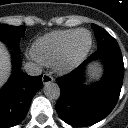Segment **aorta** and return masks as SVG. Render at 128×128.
<instances>
[{
	"label": "aorta",
	"instance_id": "obj_1",
	"mask_svg": "<svg viewBox=\"0 0 128 128\" xmlns=\"http://www.w3.org/2000/svg\"><path fill=\"white\" fill-rule=\"evenodd\" d=\"M44 94L50 100H57L61 94L60 87L54 82H47L44 86Z\"/></svg>",
	"mask_w": 128,
	"mask_h": 128
}]
</instances>
